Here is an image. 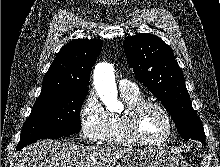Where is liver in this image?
<instances>
[{
    "mask_svg": "<svg viewBox=\"0 0 220 167\" xmlns=\"http://www.w3.org/2000/svg\"><path fill=\"white\" fill-rule=\"evenodd\" d=\"M129 150L40 140L20 151L17 167H114Z\"/></svg>",
    "mask_w": 220,
    "mask_h": 167,
    "instance_id": "liver-1",
    "label": "liver"
}]
</instances>
